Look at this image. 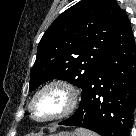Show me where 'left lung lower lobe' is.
Wrapping results in <instances>:
<instances>
[{"label": "left lung lower lobe", "mask_w": 136, "mask_h": 136, "mask_svg": "<svg viewBox=\"0 0 136 136\" xmlns=\"http://www.w3.org/2000/svg\"><path fill=\"white\" fill-rule=\"evenodd\" d=\"M135 104L136 51L126 17L83 87L78 110L59 124L87 128L101 136H129Z\"/></svg>", "instance_id": "left-lung-lower-lobe-1"}]
</instances>
